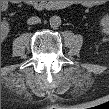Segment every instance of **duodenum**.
Segmentation results:
<instances>
[{"instance_id": "410a0bca", "label": "duodenum", "mask_w": 109, "mask_h": 109, "mask_svg": "<svg viewBox=\"0 0 109 109\" xmlns=\"http://www.w3.org/2000/svg\"><path fill=\"white\" fill-rule=\"evenodd\" d=\"M27 4L40 10L46 9L50 6V4L43 1H27Z\"/></svg>"}]
</instances>
